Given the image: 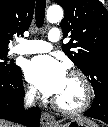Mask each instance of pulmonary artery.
<instances>
[{
	"label": "pulmonary artery",
	"instance_id": "pulmonary-artery-1",
	"mask_svg": "<svg viewBox=\"0 0 108 127\" xmlns=\"http://www.w3.org/2000/svg\"><path fill=\"white\" fill-rule=\"evenodd\" d=\"M50 42H57L60 39L58 29H51L48 34ZM43 40H23L13 48L15 54L27 55L48 52L52 49V44Z\"/></svg>",
	"mask_w": 108,
	"mask_h": 127
}]
</instances>
